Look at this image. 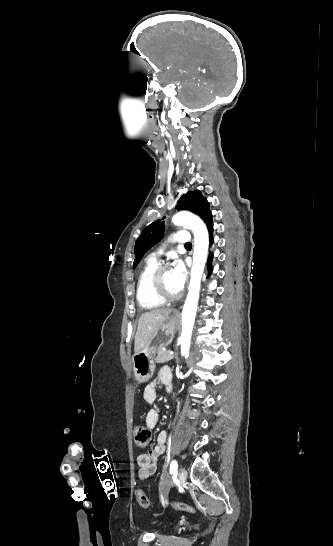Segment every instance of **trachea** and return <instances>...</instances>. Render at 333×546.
Returning <instances> with one entry per match:
<instances>
[{
    "label": "trachea",
    "mask_w": 333,
    "mask_h": 546,
    "mask_svg": "<svg viewBox=\"0 0 333 546\" xmlns=\"http://www.w3.org/2000/svg\"><path fill=\"white\" fill-rule=\"evenodd\" d=\"M185 247H191V243H190V242H189V243H186V244H185Z\"/></svg>",
    "instance_id": "obj_1"
}]
</instances>
